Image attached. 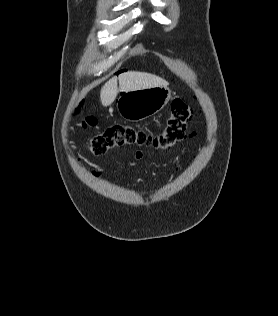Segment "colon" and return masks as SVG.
Segmentation results:
<instances>
[{
  "label": "colon",
  "instance_id": "colon-1",
  "mask_svg": "<svg viewBox=\"0 0 278 316\" xmlns=\"http://www.w3.org/2000/svg\"><path fill=\"white\" fill-rule=\"evenodd\" d=\"M81 107L78 108L80 111ZM193 118L191 107L180 99L171 104V112L164 129L156 134L132 126L113 124L99 133L90 141V151L94 155L105 154L108 150L124 145L146 146L165 150L186 137V125ZM85 127H96L97 119L88 116L84 119Z\"/></svg>",
  "mask_w": 278,
  "mask_h": 316
}]
</instances>
